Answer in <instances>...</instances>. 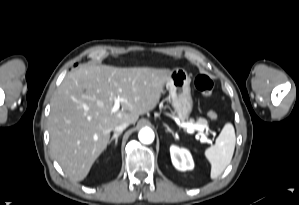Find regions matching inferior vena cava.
<instances>
[{
    "label": "inferior vena cava",
    "mask_w": 299,
    "mask_h": 205,
    "mask_svg": "<svg viewBox=\"0 0 299 205\" xmlns=\"http://www.w3.org/2000/svg\"><path fill=\"white\" fill-rule=\"evenodd\" d=\"M128 125H129L128 122H123V123L119 124L118 126H116L114 128L115 133L122 132L124 129H126L128 127Z\"/></svg>",
    "instance_id": "obj_1"
}]
</instances>
